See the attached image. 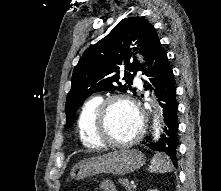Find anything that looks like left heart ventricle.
I'll list each match as a JSON object with an SVG mask.
<instances>
[{
	"mask_svg": "<svg viewBox=\"0 0 221 191\" xmlns=\"http://www.w3.org/2000/svg\"><path fill=\"white\" fill-rule=\"evenodd\" d=\"M140 119L137 112L127 103H114L109 111L108 126L110 138L127 141L137 132Z\"/></svg>",
	"mask_w": 221,
	"mask_h": 191,
	"instance_id": "b2bd125f",
	"label": "left heart ventricle"
}]
</instances>
